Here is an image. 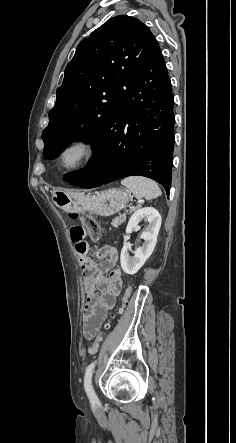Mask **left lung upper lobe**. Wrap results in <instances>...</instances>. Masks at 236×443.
I'll use <instances>...</instances> for the list:
<instances>
[{"label": "left lung upper lobe", "mask_w": 236, "mask_h": 443, "mask_svg": "<svg viewBox=\"0 0 236 443\" xmlns=\"http://www.w3.org/2000/svg\"><path fill=\"white\" fill-rule=\"evenodd\" d=\"M157 44L145 24L127 15L109 19L79 43L42 133L45 159L71 142L94 140Z\"/></svg>", "instance_id": "1"}]
</instances>
